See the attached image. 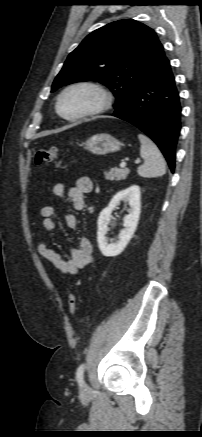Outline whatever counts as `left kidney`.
<instances>
[{
  "instance_id": "obj_1",
  "label": "left kidney",
  "mask_w": 202,
  "mask_h": 437,
  "mask_svg": "<svg viewBox=\"0 0 202 437\" xmlns=\"http://www.w3.org/2000/svg\"><path fill=\"white\" fill-rule=\"evenodd\" d=\"M140 197V187L132 185L115 194L109 205L100 213L98 218L97 241L99 249L104 256L113 257L119 255L133 237L140 216ZM120 201H127L130 205V211L123 219L124 229L119 233L117 240L113 243H109L106 234L109 231L111 214Z\"/></svg>"
}]
</instances>
